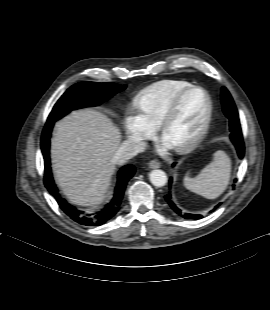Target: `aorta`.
I'll return each mask as SVG.
<instances>
[{
    "label": "aorta",
    "mask_w": 270,
    "mask_h": 310,
    "mask_svg": "<svg viewBox=\"0 0 270 310\" xmlns=\"http://www.w3.org/2000/svg\"><path fill=\"white\" fill-rule=\"evenodd\" d=\"M149 178L151 183L156 187H163L168 180L166 173L160 169L152 170Z\"/></svg>",
    "instance_id": "762f6f07"
}]
</instances>
